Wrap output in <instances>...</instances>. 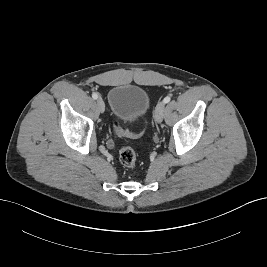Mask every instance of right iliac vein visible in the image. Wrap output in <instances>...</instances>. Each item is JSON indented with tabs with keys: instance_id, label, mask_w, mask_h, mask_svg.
<instances>
[{
	"instance_id": "obj_1",
	"label": "right iliac vein",
	"mask_w": 267,
	"mask_h": 267,
	"mask_svg": "<svg viewBox=\"0 0 267 267\" xmlns=\"http://www.w3.org/2000/svg\"><path fill=\"white\" fill-rule=\"evenodd\" d=\"M97 107L101 113H103L105 111V104L101 98L97 99Z\"/></svg>"
}]
</instances>
